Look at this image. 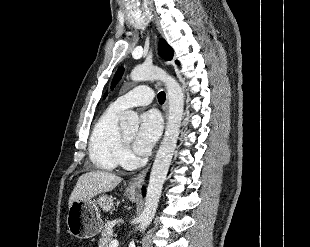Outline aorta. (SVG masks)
Wrapping results in <instances>:
<instances>
[{
	"label": "aorta",
	"instance_id": "762f6f07",
	"mask_svg": "<svg viewBox=\"0 0 310 247\" xmlns=\"http://www.w3.org/2000/svg\"><path fill=\"white\" fill-rule=\"evenodd\" d=\"M130 77L134 82L146 80L163 81L167 89L169 101L167 127L152 166L145 198V206L139 224V230L143 232L150 225L155 216L163 184L176 148L184 111V93L179 83L173 77L155 66H136L132 70ZM120 127L123 130L136 131L139 127L138 115L133 111L125 112L120 118Z\"/></svg>",
	"mask_w": 310,
	"mask_h": 247
}]
</instances>
